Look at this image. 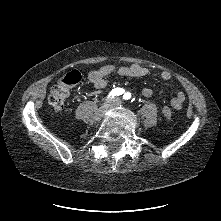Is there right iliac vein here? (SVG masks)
Instances as JSON below:
<instances>
[{"label": "right iliac vein", "mask_w": 221, "mask_h": 221, "mask_svg": "<svg viewBox=\"0 0 221 221\" xmlns=\"http://www.w3.org/2000/svg\"><path fill=\"white\" fill-rule=\"evenodd\" d=\"M108 107H109V104H106V105H105V108H108Z\"/></svg>", "instance_id": "1"}]
</instances>
